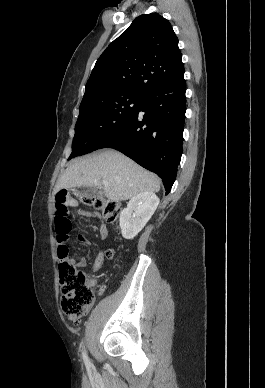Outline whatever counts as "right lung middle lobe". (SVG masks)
<instances>
[{
	"label": "right lung middle lobe",
	"instance_id": "dd1d6c3e",
	"mask_svg": "<svg viewBox=\"0 0 265 388\" xmlns=\"http://www.w3.org/2000/svg\"><path fill=\"white\" fill-rule=\"evenodd\" d=\"M142 95L102 90L83 98L69 159L99 149L101 144L128 119Z\"/></svg>",
	"mask_w": 265,
	"mask_h": 388
}]
</instances>
